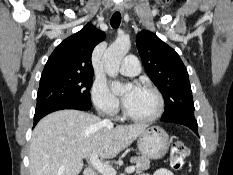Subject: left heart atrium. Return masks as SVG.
Masks as SVG:
<instances>
[{
  "label": "left heart atrium",
  "mask_w": 233,
  "mask_h": 175,
  "mask_svg": "<svg viewBox=\"0 0 233 175\" xmlns=\"http://www.w3.org/2000/svg\"><path fill=\"white\" fill-rule=\"evenodd\" d=\"M139 90L138 86H133L123 97L124 103L127 102L137 91Z\"/></svg>",
  "instance_id": "39dd6f15"
}]
</instances>
